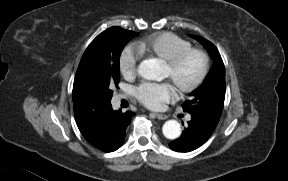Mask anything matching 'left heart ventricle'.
Segmentation results:
<instances>
[{"label":"left heart ventricle","instance_id":"b2bd125f","mask_svg":"<svg viewBox=\"0 0 288 181\" xmlns=\"http://www.w3.org/2000/svg\"><path fill=\"white\" fill-rule=\"evenodd\" d=\"M200 70V58L197 55H191L174 71H170L164 65L163 77L169 78L175 86L180 87L192 82L198 76Z\"/></svg>","mask_w":288,"mask_h":181}]
</instances>
